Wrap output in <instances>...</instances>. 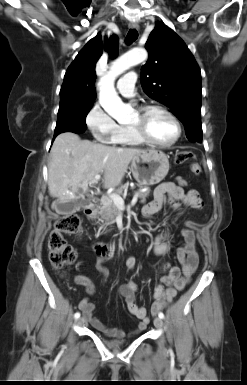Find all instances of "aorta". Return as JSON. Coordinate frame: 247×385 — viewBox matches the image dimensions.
I'll return each mask as SVG.
<instances>
[{
	"mask_svg": "<svg viewBox=\"0 0 247 385\" xmlns=\"http://www.w3.org/2000/svg\"><path fill=\"white\" fill-rule=\"evenodd\" d=\"M147 57L145 49H133L114 61L107 74L100 79L98 83L99 102L113 118L121 120L132 112L131 107L123 103L118 96L114 87L115 79L130 67L145 61Z\"/></svg>",
	"mask_w": 247,
	"mask_h": 385,
	"instance_id": "1",
	"label": "aorta"
}]
</instances>
